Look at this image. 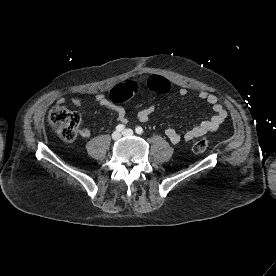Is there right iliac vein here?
<instances>
[{
  "mask_svg": "<svg viewBox=\"0 0 276 276\" xmlns=\"http://www.w3.org/2000/svg\"><path fill=\"white\" fill-rule=\"evenodd\" d=\"M121 138V133L118 131L113 132L112 139L113 140H119Z\"/></svg>",
  "mask_w": 276,
  "mask_h": 276,
  "instance_id": "1",
  "label": "right iliac vein"
}]
</instances>
